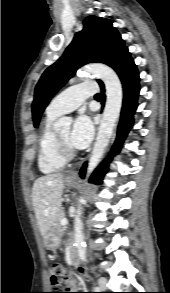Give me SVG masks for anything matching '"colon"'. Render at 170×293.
<instances>
[{"mask_svg":"<svg viewBox=\"0 0 170 293\" xmlns=\"http://www.w3.org/2000/svg\"><path fill=\"white\" fill-rule=\"evenodd\" d=\"M49 274L50 282L54 291L51 293H62L58 291L64 290L69 284L68 271L66 267L56 260H51L49 265Z\"/></svg>","mask_w":170,"mask_h":293,"instance_id":"1","label":"colon"}]
</instances>
